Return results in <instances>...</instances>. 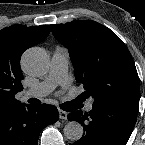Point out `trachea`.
<instances>
[{
  "instance_id": "trachea-1",
  "label": "trachea",
  "mask_w": 145,
  "mask_h": 145,
  "mask_svg": "<svg viewBox=\"0 0 145 145\" xmlns=\"http://www.w3.org/2000/svg\"><path fill=\"white\" fill-rule=\"evenodd\" d=\"M60 107H61L63 110H68V109H70L71 104H70V102H66V103L61 104Z\"/></svg>"
}]
</instances>
